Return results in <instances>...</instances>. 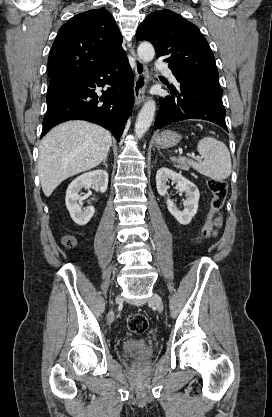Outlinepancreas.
<instances>
[{"mask_svg": "<svg viewBox=\"0 0 272 417\" xmlns=\"http://www.w3.org/2000/svg\"><path fill=\"white\" fill-rule=\"evenodd\" d=\"M178 168H182L184 170H188V167H181V166H177Z\"/></svg>", "mask_w": 272, "mask_h": 417, "instance_id": "obj_1", "label": "pancreas"}]
</instances>
